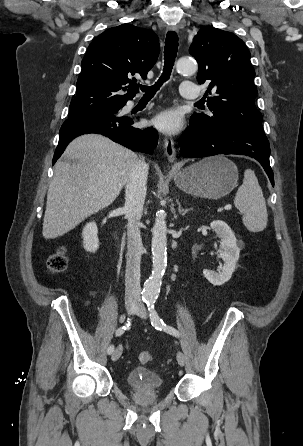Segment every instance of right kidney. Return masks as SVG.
<instances>
[{
  "instance_id": "ca27d5eb",
  "label": "right kidney",
  "mask_w": 303,
  "mask_h": 446,
  "mask_svg": "<svg viewBox=\"0 0 303 446\" xmlns=\"http://www.w3.org/2000/svg\"><path fill=\"white\" fill-rule=\"evenodd\" d=\"M97 232L98 230L95 222L87 223L83 228V247L87 252L94 253L99 248Z\"/></svg>"
}]
</instances>
